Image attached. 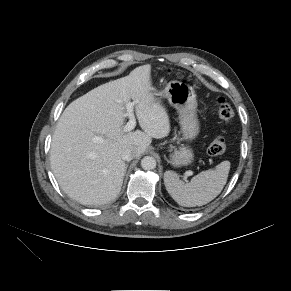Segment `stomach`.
I'll return each instance as SVG.
<instances>
[{
  "label": "stomach",
  "mask_w": 291,
  "mask_h": 291,
  "mask_svg": "<svg viewBox=\"0 0 291 291\" xmlns=\"http://www.w3.org/2000/svg\"><path fill=\"white\" fill-rule=\"evenodd\" d=\"M157 103L168 100L179 113L182 139L192 141L200 131L196 115L197 100L193 88L179 81L169 82L163 90L152 88ZM194 159L193 151L188 146H181L170 154L169 162L174 167L189 165Z\"/></svg>",
  "instance_id": "obj_1"
}]
</instances>
